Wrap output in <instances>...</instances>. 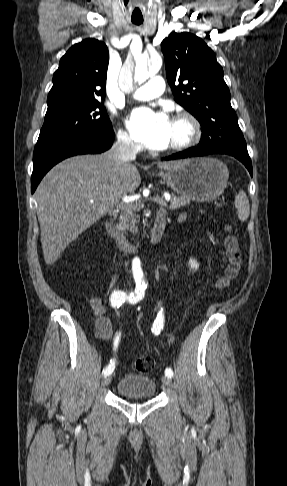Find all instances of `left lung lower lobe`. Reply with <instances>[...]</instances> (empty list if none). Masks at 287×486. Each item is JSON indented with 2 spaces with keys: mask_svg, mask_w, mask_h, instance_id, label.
<instances>
[{
  "mask_svg": "<svg viewBox=\"0 0 287 486\" xmlns=\"http://www.w3.org/2000/svg\"><path fill=\"white\" fill-rule=\"evenodd\" d=\"M214 153L228 154L237 158L246 166L251 176L253 175L252 163L248 152H233V151L219 150V149H202L197 147V148H189L185 151L173 154L169 157H166L165 160L183 159L188 157L204 156V155L214 154Z\"/></svg>",
  "mask_w": 287,
  "mask_h": 486,
  "instance_id": "obj_1",
  "label": "left lung lower lobe"
}]
</instances>
